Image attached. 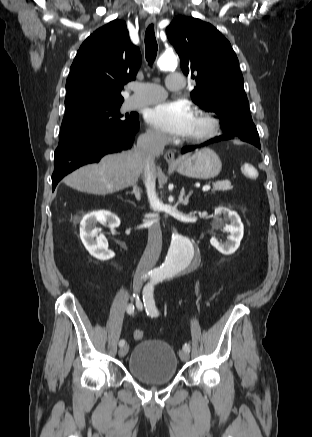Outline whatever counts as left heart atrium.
Returning a JSON list of instances; mask_svg holds the SVG:
<instances>
[{
  "mask_svg": "<svg viewBox=\"0 0 312 437\" xmlns=\"http://www.w3.org/2000/svg\"><path fill=\"white\" fill-rule=\"evenodd\" d=\"M194 118L191 108L183 102H162L146 114L148 123L176 137H187L191 133Z\"/></svg>",
  "mask_w": 312,
  "mask_h": 437,
  "instance_id": "1",
  "label": "left heart atrium"
}]
</instances>
